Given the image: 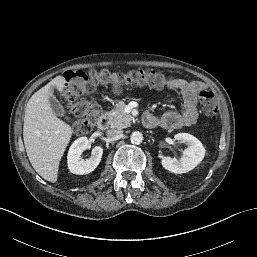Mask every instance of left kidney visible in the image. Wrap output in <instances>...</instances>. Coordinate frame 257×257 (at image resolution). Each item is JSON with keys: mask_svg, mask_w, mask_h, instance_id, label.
<instances>
[{"mask_svg": "<svg viewBox=\"0 0 257 257\" xmlns=\"http://www.w3.org/2000/svg\"><path fill=\"white\" fill-rule=\"evenodd\" d=\"M174 138L187 145L181 158L165 156L161 160L162 166L175 174H182L193 170L204 158L205 148L202 143L193 135L178 133Z\"/></svg>", "mask_w": 257, "mask_h": 257, "instance_id": "1", "label": "left kidney"}]
</instances>
